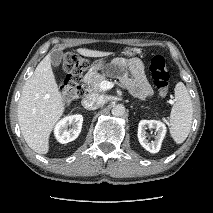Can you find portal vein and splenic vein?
<instances>
[{"instance_id":"obj_1","label":"portal vein and splenic vein","mask_w":213,"mask_h":213,"mask_svg":"<svg viewBox=\"0 0 213 213\" xmlns=\"http://www.w3.org/2000/svg\"><path fill=\"white\" fill-rule=\"evenodd\" d=\"M113 86H114L113 82L107 80H104L100 83V89L103 91L110 90L111 88H113Z\"/></svg>"}]
</instances>
